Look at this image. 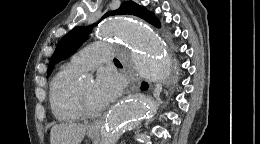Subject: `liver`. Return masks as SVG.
<instances>
[{
  "mask_svg": "<svg viewBox=\"0 0 260 144\" xmlns=\"http://www.w3.org/2000/svg\"><path fill=\"white\" fill-rule=\"evenodd\" d=\"M87 129V125L77 123H61L55 125L50 132V143L80 144Z\"/></svg>",
  "mask_w": 260,
  "mask_h": 144,
  "instance_id": "1",
  "label": "liver"
}]
</instances>
